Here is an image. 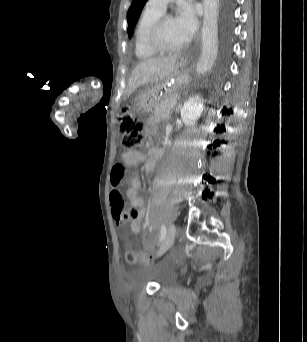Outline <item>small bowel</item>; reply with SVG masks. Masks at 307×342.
Returning a JSON list of instances; mask_svg holds the SVG:
<instances>
[{"mask_svg":"<svg viewBox=\"0 0 307 342\" xmlns=\"http://www.w3.org/2000/svg\"><path fill=\"white\" fill-rule=\"evenodd\" d=\"M149 155L150 158L146 160V156L142 152L138 150H130L123 153V159L128 165H136L140 162H146L145 170L149 172L153 170L155 166V159L158 156V153L155 152V150H151ZM129 184L130 188L127 191V196L131 206L137 210V218L132 221L131 229L133 232H140L141 219L145 214L144 201L139 193L141 180L136 176H132L129 179Z\"/></svg>","mask_w":307,"mask_h":342,"instance_id":"1","label":"small bowel"}]
</instances>
